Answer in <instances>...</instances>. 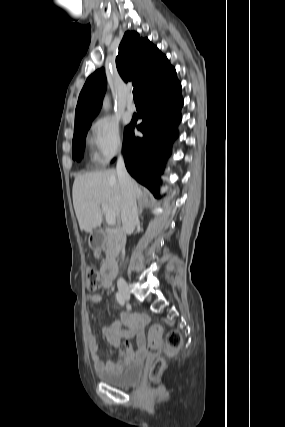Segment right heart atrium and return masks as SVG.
<instances>
[{"instance_id":"1","label":"right heart atrium","mask_w":285,"mask_h":427,"mask_svg":"<svg viewBox=\"0 0 285 427\" xmlns=\"http://www.w3.org/2000/svg\"><path fill=\"white\" fill-rule=\"evenodd\" d=\"M89 144L97 162H110L124 147L119 123L110 117L95 120L90 127Z\"/></svg>"}]
</instances>
